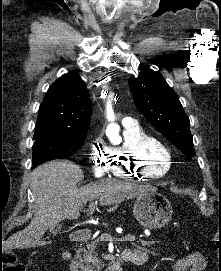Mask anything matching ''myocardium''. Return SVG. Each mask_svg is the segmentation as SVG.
<instances>
[{
  "mask_svg": "<svg viewBox=\"0 0 221 271\" xmlns=\"http://www.w3.org/2000/svg\"><path fill=\"white\" fill-rule=\"evenodd\" d=\"M157 147H164V145H159V146H157ZM155 157V156H154ZM158 159L161 157V156H156ZM152 157L151 156H149L147 159H151ZM155 161V160H154Z\"/></svg>",
  "mask_w": 221,
  "mask_h": 271,
  "instance_id": "obj_1",
  "label": "myocardium"
}]
</instances>
